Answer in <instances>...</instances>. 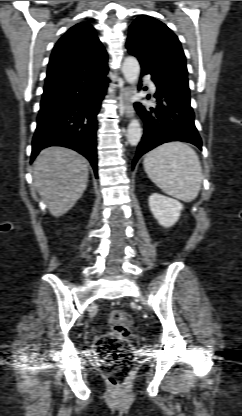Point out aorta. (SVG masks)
Listing matches in <instances>:
<instances>
[{
	"label": "aorta",
	"mask_w": 242,
	"mask_h": 416,
	"mask_svg": "<svg viewBox=\"0 0 242 416\" xmlns=\"http://www.w3.org/2000/svg\"><path fill=\"white\" fill-rule=\"evenodd\" d=\"M122 72L128 83L135 84L140 74L138 60L133 56L126 57L123 62ZM126 136L130 145L136 146L139 143L142 136V128L138 120L133 119L129 123Z\"/></svg>",
	"instance_id": "1"
}]
</instances>
